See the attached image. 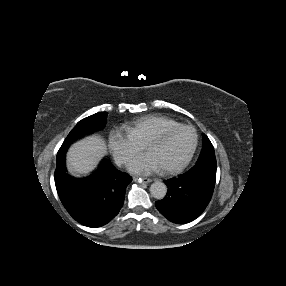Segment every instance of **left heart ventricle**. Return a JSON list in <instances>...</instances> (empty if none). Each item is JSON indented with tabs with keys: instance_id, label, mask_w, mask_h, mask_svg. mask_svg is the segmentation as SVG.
I'll return each mask as SVG.
<instances>
[{
	"instance_id": "1",
	"label": "left heart ventricle",
	"mask_w": 286,
	"mask_h": 286,
	"mask_svg": "<svg viewBox=\"0 0 286 286\" xmlns=\"http://www.w3.org/2000/svg\"><path fill=\"white\" fill-rule=\"evenodd\" d=\"M194 143V132L190 129H183L165 141L150 146L148 151L161 167L171 166L181 162L190 153Z\"/></svg>"
}]
</instances>
